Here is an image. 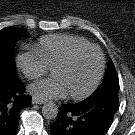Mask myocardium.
<instances>
[{"label": "myocardium", "mask_w": 135, "mask_h": 135, "mask_svg": "<svg viewBox=\"0 0 135 135\" xmlns=\"http://www.w3.org/2000/svg\"><path fill=\"white\" fill-rule=\"evenodd\" d=\"M88 50L95 51L98 54L99 69H98L95 79L93 80L91 85L85 91H83L82 93H79V94L69 93V97L74 100H82V99L89 97L98 87V85L103 77L104 70H105V57H104L102 50L99 47L94 46V45L76 47V48L72 49L68 54H66L63 58L58 60L51 68V71H53L56 68L65 66V65L69 64L78 54H80L84 51H88Z\"/></svg>", "instance_id": "f54148a6"}]
</instances>
